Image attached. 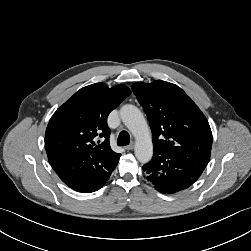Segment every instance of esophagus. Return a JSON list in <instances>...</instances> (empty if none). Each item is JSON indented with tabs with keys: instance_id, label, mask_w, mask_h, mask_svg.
Wrapping results in <instances>:
<instances>
[{
	"instance_id": "esophagus-1",
	"label": "esophagus",
	"mask_w": 251,
	"mask_h": 251,
	"mask_svg": "<svg viewBox=\"0 0 251 251\" xmlns=\"http://www.w3.org/2000/svg\"><path fill=\"white\" fill-rule=\"evenodd\" d=\"M134 148V144L133 143H131V144H129V145H127V146H125V149L126 150H132Z\"/></svg>"
}]
</instances>
